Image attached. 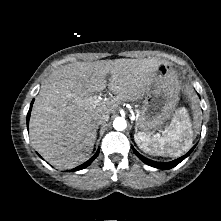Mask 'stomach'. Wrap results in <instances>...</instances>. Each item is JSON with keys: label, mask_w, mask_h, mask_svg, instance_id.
Masks as SVG:
<instances>
[{"label": "stomach", "mask_w": 221, "mask_h": 221, "mask_svg": "<svg viewBox=\"0 0 221 221\" xmlns=\"http://www.w3.org/2000/svg\"><path fill=\"white\" fill-rule=\"evenodd\" d=\"M180 90L181 83L174 69L170 64H161L143 101L137 120L138 129L151 133L168 120L179 101Z\"/></svg>", "instance_id": "0dacf381"}]
</instances>
